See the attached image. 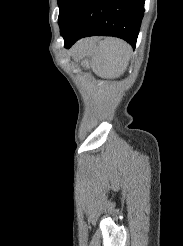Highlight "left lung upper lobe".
<instances>
[{
    "mask_svg": "<svg viewBox=\"0 0 183 246\" xmlns=\"http://www.w3.org/2000/svg\"><path fill=\"white\" fill-rule=\"evenodd\" d=\"M57 1L59 6L58 24L59 26H61L74 0H57Z\"/></svg>",
    "mask_w": 183,
    "mask_h": 246,
    "instance_id": "1",
    "label": "left lung upper lobe"
}]
</instances>
